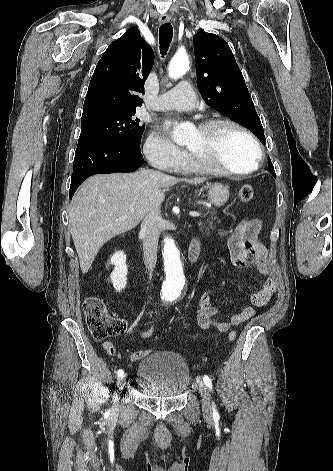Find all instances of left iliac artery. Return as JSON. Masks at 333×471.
Returning <instances> with one entry per match:
<instances>
[{
    "mask_svg": "<svg viewBox=\"0 0 333 471\" xmlns=\"http://www.w3.org/2000/svg\"><path fill=\"white\" fill-rule=\"evenodd\" d=\"M203 381H204V383H205L210 389H212V386H213V385H212V381H211V379L209 378V376L204 375V376H203ZM212 410H213V415H214V416H218V412H217L216 406H215L214 404H213V406H212Z\"/></svg>",
    "mask_w": 333,
    "mask_h": 471,
    "instance_id": "1",
    "label": "left iliac artery"
}]
</instances>
